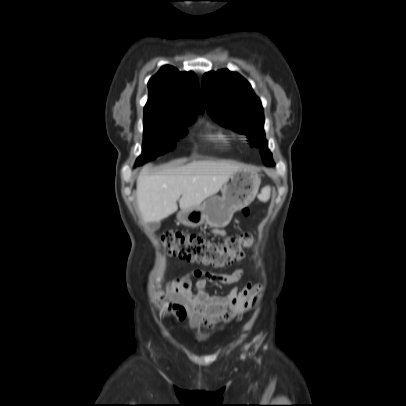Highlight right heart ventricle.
Segmentation results:
<instances>
[{"label": "right heart ventricle", "mask_w": 406, "mask_h": 406, "mask_svg": "<svg viewBox=\"0 0 406 406\" xmlns=\"http://www.w3.org/2000/svg\"><path fill=\"white\" fill-rule=\"evenodd\" d=\"M210 138L216 141H219L221 143H230L232 140V137L230 135H227L223 132H217L215 134L210 135Z\"/></svg>", "instance_id": "obj_1"}]
</instances>
